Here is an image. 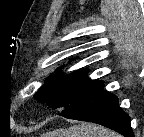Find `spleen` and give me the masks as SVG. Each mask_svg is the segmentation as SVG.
Listing matches in <instances>:
<instances>
[{"instance_id": "3e777b00", "label": "spleen", "mask_w": 144, "mask_h": 137, "mask_svg": "<svg viewBox=\"0 0 144 137\" xmlns=\"http://www.w3.org/2000/svg\"><path fill=\"white\" fill-rule=\"evenodd\" d=\"M59 137H120L117 133L93 123L82 122L58 131Z\"/></svg>"}]
</instances>
